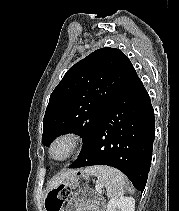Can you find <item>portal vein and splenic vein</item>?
I'll return each mask as SVG.
<instances>
[{
    "label": "portal vein and splenic vein",
    "mask_w": 179,
    "mask_h": 211,
    "mask_svg": "<svg viewBox=\"0 0 179 211\" xmlns=\"http://www.w3.org/2000/svg\"><path fill=\"white\" fill-rule=\"evenodd\" d=\"M96 189L98 192H100V193L102 192L101 187H97Z\"/></svg>",
    "instance_id": "portal-vein-and-splenic-vein-1"
}]
</instances>
